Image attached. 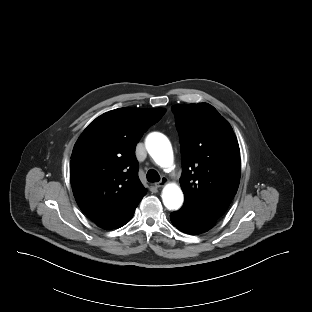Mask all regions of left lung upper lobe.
<instances>
[{"instance_id":"left-lung-upper-lobe-1","label":"left lung upper lobe","mask_w":312,"mask_h":312,"mask_svg":"<svg viewBox=\"0 0 312 312\" xmlns=\"http://www.w3.org/2000/svg\"><path fill=\"white\" fill-rule=\"evenodd\" d=\"M180 136L183 208L217 220L240 181V150L230 124L207 103L171 107Z\"/></svg>"}]
</instances>
